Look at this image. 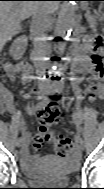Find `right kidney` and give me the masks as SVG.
<instances>
[{
  "instance_id": "right-kidney-1",
  "label": "right kidney",
  "mask_w": 104,
  "mask_h": 189,
  "mask_svg": "<svg viewBox=\"0 0 104 189\" xmlns=\"http://www.w3.org/2000/svg\"><path fill=\"white\" fill-rule=\"evenodd\" d=\"M27 46V38L25 36H21L14 40L12 43L9 53L14 59H21L25 53Z\"/></svg>"
}]
</instances>
